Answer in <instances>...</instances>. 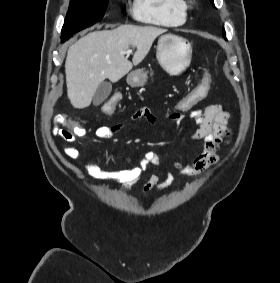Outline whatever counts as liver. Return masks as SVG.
<instances>
[{
	"label": "liver",
	"mask_w": 280,
	"mask_h": 283,
	"mask_svg": "<svg viewBox=\"0 0 280 283\" xmlns=\"http://www.w3.org/2000/svg\"><path fill=\"white\" fill-rule=\"evenodd\" d=\"M167 30L154 26L122 25L113 30L94 31L69 47L65 62L68 98L74 108L91 104L105 79L117 82L146 57L154 40ZM136 47L132 62L125 57Z\"/></svg>",
	"instance_id": "6515ba94"
}]
</instances>
